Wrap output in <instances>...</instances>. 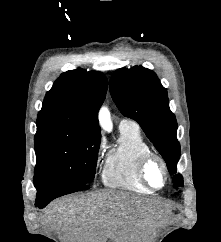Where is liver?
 Wrapping results in <instances>:
<instances>
[{
  "mask_svg": "<svg viewBox=\"0 0 221 242\" xmlns=\"http://www.w3.org/2000/svg\"><path fill=\"white\" fill-rule=\"evenodd\" d=\"M162 204L122 191H97L55 200L42 223L62 242H149Z\"/></svg>",
  "mask_w": 221,
  "mask_h": 242,
  "instance_id": "liver-1",
  "label": "liver"
}]
</instances>
